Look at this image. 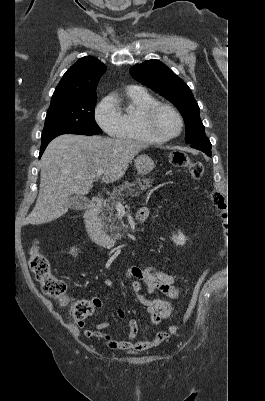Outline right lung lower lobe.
<instances>
[{"label":"right lung lower lobe","mask_w":265,"mask_h":401,"mask_svg":"<svg viewBox=\"0 0 265 401\" xmlns=\"http://www.w3.org/2000/svg\"><path fill=\"white\" fill-rule=\"evenodd\" d=\"M49 142H50V141H49ZM49 142H46V143H42V144H41V151H40V156H39V158L41 157L42 153L44 152V150H45V148L47 147V145L49 144Z\"/></svg>","instance_id":"obj_1"}]
</instances>
